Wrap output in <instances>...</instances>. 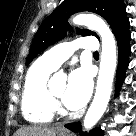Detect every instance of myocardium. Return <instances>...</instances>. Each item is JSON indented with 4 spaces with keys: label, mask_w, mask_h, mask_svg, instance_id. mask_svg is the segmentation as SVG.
I'll return each instance as SVG.
<instances>
[{
    "label": "myocardium",
    "mask_w": 136,
    "mask_h": 136,
    "mask_svg": "<svg viewBox=\"0 0 136 136\" xmlns=\"http://www.w3.org/2000/svg\"><path fill=\"white\" fill-rule=\"evenodd\" d=\"M49 94H50V97H51L52 102L54 104V107L61 108L60 98L58 96H56L51 89H49Z\"/></svg>",
    "instance_id": "obj_1"
}]
</instances>
